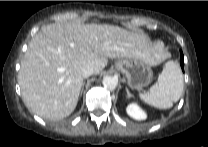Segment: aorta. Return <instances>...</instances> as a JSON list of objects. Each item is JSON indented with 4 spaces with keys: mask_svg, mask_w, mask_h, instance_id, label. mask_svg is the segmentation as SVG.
I'll return each instance as SVG.
<instances>
[{
    "mask_svg": "<svg viewBox=\"0 0 208 147\" xmlns=\"http://www.w3.org/2000/svg\"><path fill=\"white\" fill-rule=\"evenodd\" d=\"M102 83L105 88L114 90L117 87L118 79L114 76H105Z\"/></svg>",
    "mask_w": 208,
    "mask_h": 147,
    "instance_id": "762f6f07",
    "label": "aorta"
}]
</instances>
